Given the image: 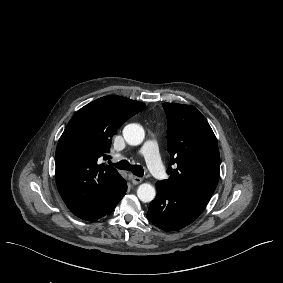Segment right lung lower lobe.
Wrapping results in <instances>:
<instances>
[{"label":"right lung lower lobe","instance_id":"98d812e1","mask_svg":"<svg viewBox=\"0 0 283 283\" xmlns=\"http://www.w3.org/2000/svg\"><path fill=\"white\" fill-rule=\"evenodd\" d=\"M127 190V183L125 181V183L123 184V187L121 189V192L115 196L114 198H112L110 201H108L105 205H103L102 207L89 212V213H85V214H79L77 215L79 218L84 219V220H88V221H94L97 220L107 214H109L110 212L113 211V209L116 207V205L119 203V201L123 198V196L125 195Z\"/></svg>","mask_w":283,"mask_h":283}]
</instances>
